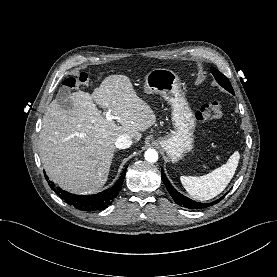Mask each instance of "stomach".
Returning a JSON list of instances; mask_svg holds the SVG:
<instances>
[{
  "instance_id": "obj_1",
  "label": "stomach",
  "mask_w": 277,
  "mask_h": 277,
  "mask_svg": "<svg viewBox=\"0 0 277 277\" xmlns=\"http://www.w3.org/2000/svg\"><path fill=\"white\" fill-rule=\"evenodd\" d=\"M143 87L146 93L160 94L171 106L174 130L169 135L160 137L158 143L175 163L193 148V134L197 124L195 116L173 71L164 68L150 71Z\"/></svg>"
}]
</instances>
